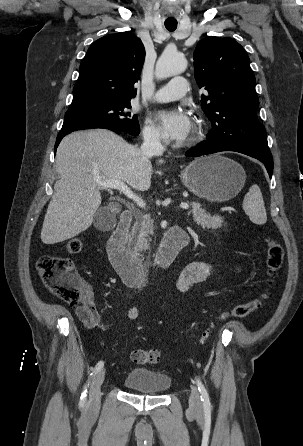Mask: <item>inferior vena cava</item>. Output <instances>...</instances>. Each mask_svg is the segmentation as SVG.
<instances>
[{
    "mask_svg": "<svg viewBox=\"0 0 303 446\" xmlns=\"http://www.w3.org/2000/svg\"><path fill=\"white\" fill-rule=\"evenodd\" d=\"M140 149L142 154L147 157H152L153 155H161L164 151V147L160 142V138L156 134L146 135Z\"/></svg>",
    "mask_w": 303,
    "mask_h": 446,
    "instance_id": "602c4592",
    "label": "inferior vena cava"
}]
</instances>
